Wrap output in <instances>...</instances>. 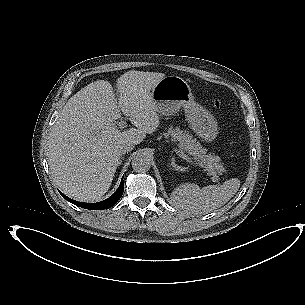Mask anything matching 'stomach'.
<instances>
[{
    "instance_id": "obj_1",
    "label": "stomach",
    "mask_w": 305,
    "mask_h": 305,
    "mask_svg": "<svg viewBox=\"0 0 305 305\" xmlns=\"http://www.w3.org/2000/svg\"><path fill=\"white\" fill-rule=\"evenodd\" d=\"M152 103L162 115H172L184 109L187 121L201 138L211 140L217 135L213 116L196 102L190 85L181 77L165 76L150 91Z\"/></svg>"
}]
</instances>
